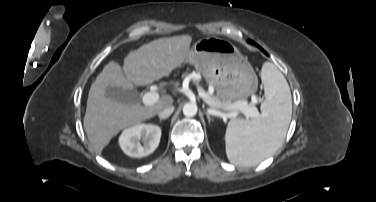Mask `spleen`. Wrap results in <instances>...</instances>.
<instances>
[{
    "label": "spleen",
    "mask_w": 376,
    "mask_h": 202,
    "mask_svg": "<svg viewBox=\"0 0 376 202\" xmlns=\"http://www.w3.org/2000/svg\"><path fill=\"white\" fill-rule=\"evenodd\" d=\"M265 101L262 113L251 121L231 120L225 133L226 154L239 166H253L273 155L282 144L292 115L289 85L271 62L261 69Z\"/></svg>",
    "instance_id": "spleen-1"
}]
</instances>
